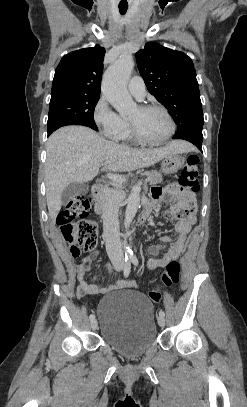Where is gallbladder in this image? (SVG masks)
I'll return each instance as SVG.
<instances>
[{"mask_svg": "<svg viewBox=\"0 0 247 407\" xmlns=\"http://www.w3.org/2000/svg\"><path fill=\"white\" fill-rule=\"evenodd\" d=\"M89 186L85 183H71L63 191L61 201L66 205L73 197L86 194Z\"/></svg>", "mask_w": 247, "mask_h": 407, "instance_id": "obj_1", "label": "gallbladder"}]
</instances>
